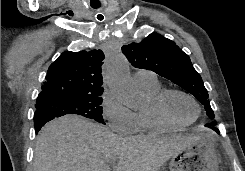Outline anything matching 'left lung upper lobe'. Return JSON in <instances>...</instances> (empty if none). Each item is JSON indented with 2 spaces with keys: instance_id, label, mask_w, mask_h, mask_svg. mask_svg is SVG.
I'll use <instances>...</instances> for the list:
<instances>
[{
  "instance_id": "left-lung-upper-lobe-1",
  "label": "left lung upper lobe",
  "mask_w": 245,
  "mask_h": 171,
  "mask_svg": "<svg viewBox=\"0 0 245 171\" xmlns=\"http://www.w3.org/2000/svg\"><path fill=\"white\" fill-rule=\"evenodd\" d=\"M122 52L134 67L151 70L187 90L204 105L207 116L214 119L201 76L175 42L159 34H150L140 43L123 46Z\"/></svg>"
}]
</instances>
